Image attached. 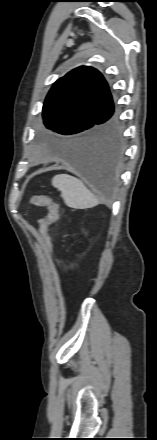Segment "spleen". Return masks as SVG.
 <instances>
[{
    "label": "spleen",
    "instance_id": "obj_1",
    "mask_svg": "<svg viewBox=\"0 0 157 440\" xmlns=\"http://www.w3.org/2000/svg\"><path fill=\"white\" fill-rule=\"evenodd\" d=\"M52 185L61 192L64 203L74 209H88L99 204L98 199L79 179L68 174L53 177Z\"/></svg>",
    "mask_w": 157,
    "mask_h": 440
}]
</instances>
